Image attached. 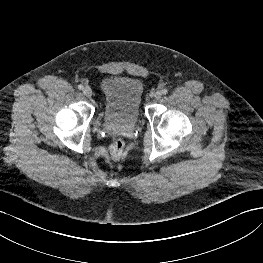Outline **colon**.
Wrapping results in <instances>:
<instances>
[{
	"label": "colon",
	"mask_w": 263,
	"mask_h": 263,
	"mask_svg": "<svg viewBox=\"0 0 263 263\" xmlns=\"http://www.w3.org/2000/svg\"><path fill=\"white\" fill-rule=\"evenodd\" d=\"M111 155L114 158H119L124 152V142L121 140H115L110 147Z\"/></svg>",
	"instance_id": "1"
}]
</instances>
